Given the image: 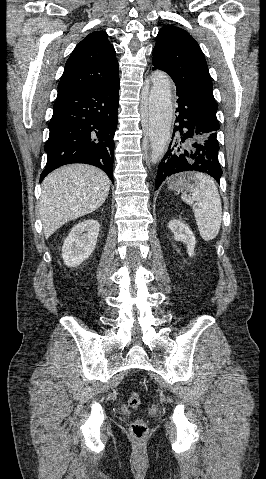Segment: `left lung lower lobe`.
I'll use <instances>...</instances> for the list:
<instances>
[{"mask_svg":"<svg viewBox=\"0 0 266 479\" xmlns=\"http://www.w3.org/2000/svg\"><path fill=\"white\" fill-rule=\"evenodd\" d=\"M178 116L167 153L155 180L156 190L170 175L183 171L206 173L219 183L222 169L218 161L220 126L216 111L181 87H176Z\"/></svg>","mask_w":266,"mask_h":479,"instance_id":"obj_1","label":"left lung lower lobe"}]
</instances>
